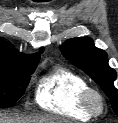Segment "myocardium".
Returning a JSON list of instances; mask_svg holds the SVG:
<instances>
[{"label":"myocardium","mask_w":118,"mask_h":123,"mask_svg":"<svg viewBox=\"0 0 118 123\" xmlns=\"http://www.w3.org/2000/svg\"><path fill=\"white\" fill-rule=\"evenodd\" d=\"M80 105L90 115L99 116L105 110V99L99 90L87 87L80 95Z\"/></svg>","instance_id":"myocardium-1"}]
</instances>
